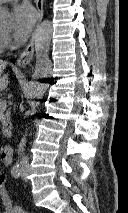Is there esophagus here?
<instances>
[{"mask_svg":"<svg viewBox=\"0 0 128 213\" xmlns=\"http://www.w3.org/2000/svg\"><path fill=\"white\" fill-rule=\"evenodd\" d=\"M43 3L44 0H36V7L38 10V24L43 18ZM34 54V36L30 39L29 44L26 46L24 51L20 54L16 61V65L19 68H25L32 60Z\"/></svg>","mask_w":128,"mask_h":213,"instance_id":"34e87169","label":"esophagus"}]
</instances>
